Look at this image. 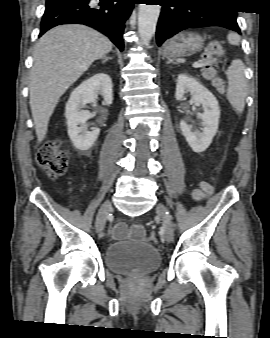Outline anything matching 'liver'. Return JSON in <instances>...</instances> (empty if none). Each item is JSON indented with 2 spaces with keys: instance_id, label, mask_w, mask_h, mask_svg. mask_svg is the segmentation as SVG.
<instances>
[{
  "instance_id": "liver-1",
  "label": "liver",
  "mask_w": 270,
  "mask_h": 338,
  "mask_svg": "<svg viewBox=\"0 0 270 338\" xmlns=\"http://www.w3.org/2000/svg\"><path fill=\"white\" fill-rule=\"evenodd\" d=\"M112 49L111 41L84 25H61L38 41L30 73V108L38 142L60 97L97 59Z\"/></svg>"
}]
</instances>
